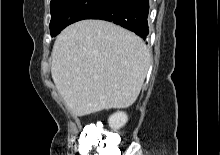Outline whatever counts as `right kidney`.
<instances>
[{
    "instance_id": "obj_1",
    "label": "right kidney",
    "mask_w": 220,
    "mask_h": 155,
    "mask_svg": "<svg viewBox=\"0 0 220 155\" xmlns=\"http://www.w3.org/2000/svg\"><path fill=\"white\" fill-rule=\"evenodd\" d=\"M128 121V116L124 112H116L109 117V126L114 130H118L123 127Z\"/></svg>"
}]
</instances>
